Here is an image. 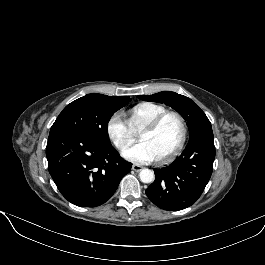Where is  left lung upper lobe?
Listing matches in <instances>:
<instances>
[{"instance_id":"5c2ea615","label":"left lung upper lobe","mask_w":265,"mask_h":265,"mask_svg":"<svg viewBox=\"0 0 265 265\" xmlns=\"http://www.w3.org/2000/svg\"><path fill=\"white\" fill-rule=\"evenodd\" d=\"M138 98L171 106L187 121L190 135L202 128L211 127V123L205 113L193 100L186 96L164 91L153 95H139Z\"/></svg>"}]
</instances>
